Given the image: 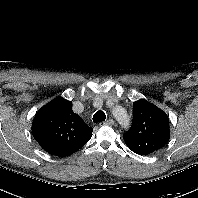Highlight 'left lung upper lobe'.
Masks as SVG:
<instances>
[{
  "mask_svg": "<svg viewBox=\"0 0 198 198\" xmlns=\"http://www.w3.org/2000/svg\"><path fill=\"white\" fill-rule=\"evenodd\" d=\"M123 139L139 155H149L170 139L169 118L154 104L140 99L133 103V120Z\"/></svg>",
  "mask_w": 198,
  "mask_h": 198,
  "instance_id": "5c2ea615",
  "label": "left lung upper lobe"
}]
</instances>
